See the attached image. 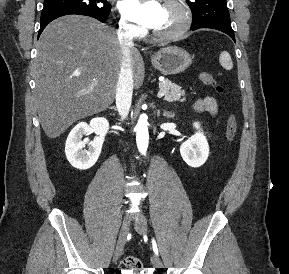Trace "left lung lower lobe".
<instances>
[{"label": "left lung lower lobe", "mask_w": 289, "mask_h": 274, "mask_svg": "<svg viewBox=\"0 0 289 274\" xmlns=\"http://www.w3.org/2000/svg\"><path fill=\"white\" fill-rule=\"evenodd\" d=\"M199 28H211V29H216V30L222 31V32L226 33L227 35H229L235 41L234 32H233L231 26L209 25V26H201V27L191 28V30H196Z\"/></svg>", "instance_id": "obj_1"}]
</instances>
